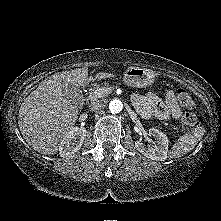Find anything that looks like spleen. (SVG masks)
Listing matches in <instances>:
<instances>
[{
	"label": "spleen",
	"mask_w": 221,
	"mask_h": 221,
	"mask_svg": "<svg viewBox=\"0 0 221 221\" xmlns=\"http://www.w3.org/2000/svg\"><path fill=\"white\" fill-rule=\"evenodd\" d=\"M204 134V128L199 127L190 133L181 136L173 145L169 152L170 158H179L190 152L196 144L201 140Z\"/></svg>",
	"instance_id": "obj_1"
}]
</instances>
